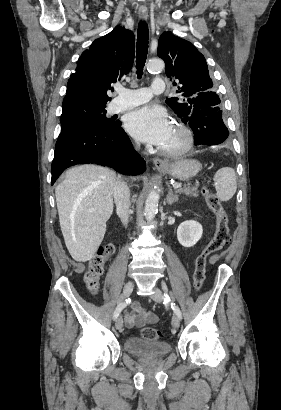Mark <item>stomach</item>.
Segmentation results:
<instances>
[{
	"mask_svg": "<svg viewBox=\"0 0 281 410\" xmlns=\"http://www.w3.org/2000/svg\"><path fill=\"white\" fill-rule=\"evenodd\" d=\"M160 170L180 180H189L201 170V164L195 159H180L168 162Z\"/></svg>",
	"mask_w": 281,
	"mask_h": 410,
	"instance_id": "1",
	"label": "stomach"
}]
</instances>
